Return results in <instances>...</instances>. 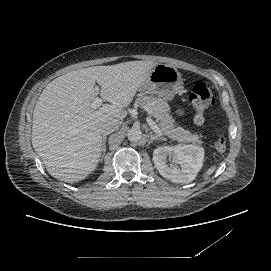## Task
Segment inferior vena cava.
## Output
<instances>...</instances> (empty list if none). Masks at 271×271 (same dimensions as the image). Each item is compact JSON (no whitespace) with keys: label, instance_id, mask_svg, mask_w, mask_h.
<instances>
[{"label":"inferior vena cava","instance_id":"obj_1","mask_svg":"<svg viewBox=\"0 0 271 271\" xmlns=\"http://www.w3.org/2000/svg\"><path fill=\"white\" fill-rule=\"evenodd\" d=\"M121 125L120 121H109L105 124L102 125L101 127V134L102 136H106L108 134H110L111 132L115 131L116 129L119 128V126Z\"/></svg>","mask_w":271,"mask_h":271}]
</instances>
